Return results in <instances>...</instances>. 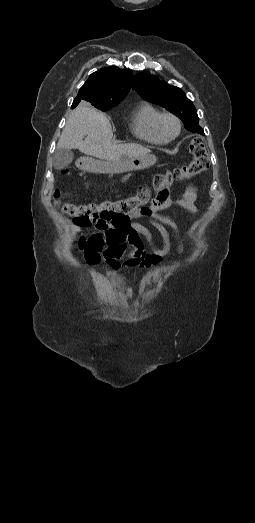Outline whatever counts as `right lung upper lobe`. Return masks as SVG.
Here are the masks:
<instances>
[{"label": "right lung upper lobe", "mask_w": 255, "mask_h": 523, "mask_svg": "<svg viewBox=\"0 0 255 523\" xmlns=\"http://www.w3.org/2000/svg\"><path fill=\"white\" fill-rule=\"evenodd\" d=\"M133 73L118 67L102 68L90 75L80 88L72 108L80 101L91 103H113L122 101L128 94L132 84Z\"/></svg>", "instance_id": "obj_1"}]
</instances>
